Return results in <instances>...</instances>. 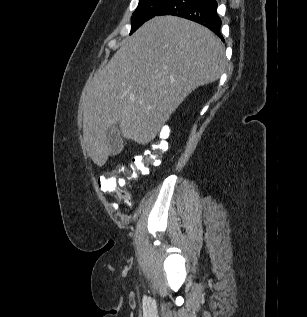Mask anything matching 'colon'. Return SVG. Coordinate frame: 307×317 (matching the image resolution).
<instances>
[{
    "label": "colon",
    "instance_id": "5ec220e1",
    "mask_svg": "<svg viewBox=\"0 0 307 317\" xmlns=\"http://www.w3.org/2000/svg\"><path fill=\"white\" fill-rule=\"evenodd\" d=\"M169 134L168 126H162L149 148L142 155L135 156L128 168L119 167L112 172L102 174L99 177L100 187L105 192L125 201L127 193L121 188L120 183L134 180L139 175H147L150 166L158 165L162 155L168 150ZM120 174L122 175L121 179L118 178Z\"/></svg>",
    "mask_w": 307,
    "mask_h": 317
}]
</instances>
